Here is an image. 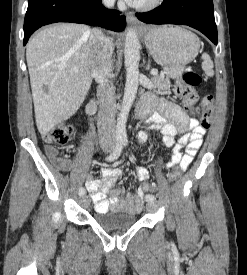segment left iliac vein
Wrapping results in <instances>:
<instances>
[{
    "label": "left iliac vein",
    "instance_id": "obj_1",
    "mask_svg": "<svg viewBox=\"0 0 247 275\" xmlns=\"http://www.w3.org/2000/svg\"><path fill=\"white\" fill-rule=\"evenodd\" d=\"M146 208L150 212H154L157 210V203L155 201H148Z\"/></svg>",
    "mask_w": 247,
    "mask_h": 275
}]
</instances>
